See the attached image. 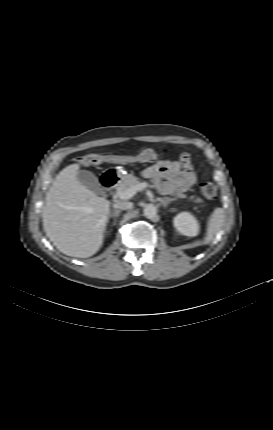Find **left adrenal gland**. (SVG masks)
Segmentation results:
<instances>
[{"label": "left adrenal gland", "mask_w": 273, "mask_h": 430, "mask_svg": "<svg viewBox=\"0 0 273 430\" xmlns=\"http://www.w3.org/2000/svg\"><path fill=\"white\" fill-rule=\"evenodd\" d=\"M171 201H173V199H171V198H165V199L160 200V204L164 208H166Z\"/></svg>", "instance_id": "obj_1"}]
</instances>
